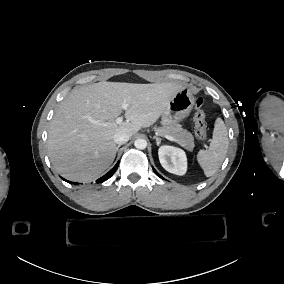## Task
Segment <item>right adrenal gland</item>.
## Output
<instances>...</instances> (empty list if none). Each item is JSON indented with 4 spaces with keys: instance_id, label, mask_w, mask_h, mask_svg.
<instances>
[{
    "instance_id": "obj_1",
    "label": "right adrenal gland",
    "mask_w": 284,
    "mask_h": 284,
    "mask_svg": "<svg viewBox=\"0 0 284 284\" xmlns=\"http://www.w3.org/2000/svg\"><path fill=\"white\" fill-rule=\"evenodd\" d=\"M119 148H120V145H118V147H117V151L119 150Z\"/></svg>"
}]
</instances>
